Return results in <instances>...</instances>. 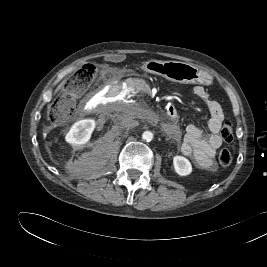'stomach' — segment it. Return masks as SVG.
I'll list each match as a JSON object with an SVG mask.
<instances>
[{
	"label": "stomach",
	"instance_id": "0dacf381",
	"mask_svg": "<svg viewBox=\"0 0 267 267\" xmlns=\"http://www.w3.org/2000/svg\"><path fill=\"white\" fill-rule=\"evenodd\" d=\"M142 68L148 73L160 75L178 83H199L203 85L212 83V77L207 72L185 62L152 59L146 61Z\"/></svg>",
	"mask_w": 267,
	"mask_h": 267
}]
</instances>
